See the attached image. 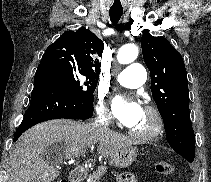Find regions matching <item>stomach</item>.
<instances>
[{
    "label": "stomach",
    "instance_id": "obj_1",
    "mask_svg": "<svg viewBox=\"0 0 211 182\" xmlns=\"http://www.w3.org/2000/svg\"><path fill=\"white\" fill-rule=\"evenodd\" d=\"M137 155L136 147H124L110 158L109 163L118 168H127L136 160Z\"/></svg>",
    "mask_w": 211,
    "mask_h": 182
}]
</instances>
